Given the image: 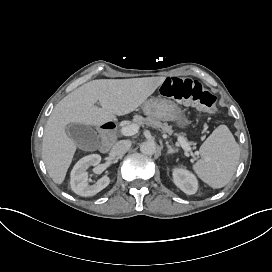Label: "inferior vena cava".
Segmentation results:
<instances>
[{
	"label": "inferior vena cava",
	"instance_id": "602c4592",
	"mask_svg": "<svg viewBox=\"0 0 272 272\" xmlns=\"http://www.w3.org/2000/svg\"><path fill=\"white\" fill-rule=\"evenodd\" d=\"M131 143L126 140H121L115 143L111 153L112 155H123L130 149Z\"/></svg>",
	"mask_w": 272,
	"mask_h": 272
}]
</instances>
